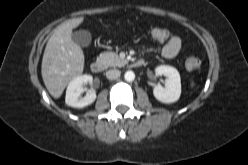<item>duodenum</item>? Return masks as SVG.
Masks as SVG:
<instances>
[{
    "label": "duodenum",
    "mask_w": 248,
    "mask_h": 165,
    "mask_svg": "<svg viewBox=\"0 0 248 165\" xmlns=\"http://www.w3.org/2000/svg\"><path fill=\"white\" fill-rule=\"evenodd\" d=\"M142 65H143L142 60H137L132 63L133 67H141ZM90 69L93 73H100L104 69V62L100 59L94 60L90 65Z\"/></svg>",
    "instance_id": "410a0bca"
}]
</instances>
